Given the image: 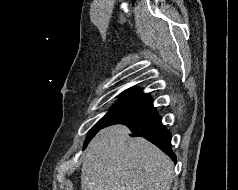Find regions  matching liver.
I'll use <instances>...</instances> for the list:
<instances>
[{
    "label": "liver",
    "instance_id": "1",
    "mask_svg": "<svg viewBox=\"0 0 238 190\" xmlns=\"http://www.w3.org/2000/svg\"><path fill=\"white\" fill-rule=\"evenodd\" d=\"M124 125L101 130L88 145L82 190H170L173 162L142 137L131 138Z\"/></svg>",
    "mask_w": 238,
    "mask_h": 190
}]
</instances>
